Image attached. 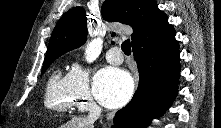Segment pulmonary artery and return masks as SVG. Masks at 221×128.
Wrapping results in <instances>:
<instances>
[{
  "mask_svg": "<svg viewBox=\"0 0 221 128\" xmlns=\"http://www.w3.org/2000/svg\"><path fill=\"white\" fill-rule=\"evenodd\" d=\"M106 60L112 65H120L123 62V54L120 48L112 47L106 53Z\"/></svg>",
  "mask_w": 221,
  "mask_h": 128,
  "instance_id": "1",
  "label": "pulmonary artery"
}]
</instances>
